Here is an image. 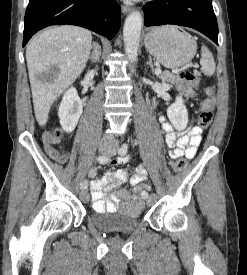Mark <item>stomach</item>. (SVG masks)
<instances>
[{"label": "stomach", "mask_w": 247, "mask_h": 275, "mask_svg": "<svg viewBox=\"0 0 247 275\" xmlns=\"http://www.w3.org/2000/svg\"><path fill=\"white\" fill-rule=\"evenodd\" d=\"M145 47L164 67L175 69L192 60L196 54L195 39L173 25L156 27L145 36Z\"/></svg>", "instance_id": "1"}]
</instances>
